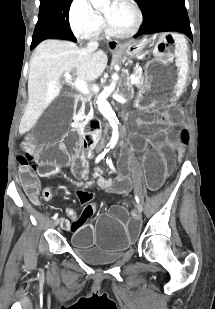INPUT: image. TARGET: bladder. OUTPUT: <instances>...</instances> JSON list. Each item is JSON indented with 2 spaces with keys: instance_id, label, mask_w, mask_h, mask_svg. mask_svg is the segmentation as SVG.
Listing matches in <instances>:
<instances>
[{
  "instance_id": "31cf9c89",
  "label": "bladder",
  "mask_w": 215,
  "mask_h": 309,
  "mask_svg": "<svg viewBox=\"0 0 215 309\" xmlns=\"http://www.w3.org/2000/svg\"><path fill=\"white\" fill-rule=\"evenodd\" d=\"M79 256L87 263L92 265H109L121 259L122 254H85L79 253Z\"/></svg>"
}]
</instances>
